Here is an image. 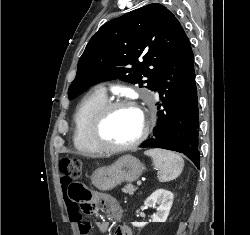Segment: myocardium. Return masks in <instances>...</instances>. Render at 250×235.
<instances>
[{
  "label": "myocardium",
  "instance_id": "obj_1",
  "mask_svg": "<svg viewBox=\"0 0 250 235\" xmlns=\"http://www.w3.org/2000/svg\"><path fill=\"white\" fill-rule=\"evenodd\" d=\"M133 108L141 112L143 126L139 135L130 143L116 145L108 142L103 136L104 124L109 115L118 108ZM149 131L148 113L134 100L130 98H119L106 101V103L95 113L89 130L92 142L101 150L106 152L129 151L139 146L147 137Z\"/></svg>",
  "mask_w": 250,
  "mask_h": 235
}]
</instances>
